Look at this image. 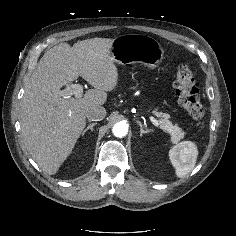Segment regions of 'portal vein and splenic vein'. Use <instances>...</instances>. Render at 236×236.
<instances>
[{
    "mask_svg": "<svg viewBox=\"0 0 236 236\" xmlns=\"http://www.w3.org/2000/svg\"><path fill=\"white\" fill-rule=\"evenodd\" d=\"M71 95H74L75 98H81L83 95V87L80 84H72L62 90L63 98H69ZM151 122L156 126L159 127L160 123L154 118L150 117Z\"/></svg>",
    "mask_w": 236,
    "mask_h": 236,
    "instance_id": "obj_1",
    "label": "portal vein and splenic vein"
}]
</instances>
